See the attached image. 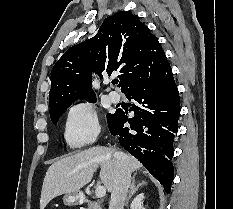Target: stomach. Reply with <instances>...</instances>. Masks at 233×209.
Listing matches in <instances>:
<instances>
[{
    "mask_svg": "<svg viewBox=\"0 0 233 209\" xmlns=\"http://www.w3.org/2000/svg\"><path fill=\"white\" fill-rule=\"evenodd\" d=\"M81 201V194L78 192L65 194L63 197V203L66 206L78 205Z\"/></svg>",
    "mask_w": 233,
    "mask_h": 209,
    "instance_id": "1",
    "label": "stomach"
}]
</instances>
